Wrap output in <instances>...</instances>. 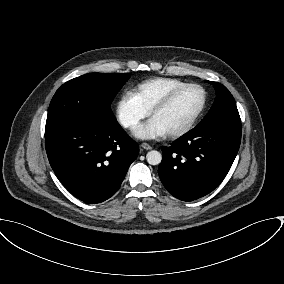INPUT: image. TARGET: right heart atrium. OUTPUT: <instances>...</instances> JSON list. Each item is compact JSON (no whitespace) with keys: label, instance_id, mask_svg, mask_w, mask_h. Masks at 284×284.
I'll list each match as a JSON object with an SVG mask.
<instances>
[{"label":"right heart atrium","instance_id":"1","mask_svg":"<svg viewBox=\"0 0 284 284\" xmlns=\"http://www.w3.org/2000/svg\"><path fill=\"white\" fill-rule=\"evenodd\" d=\"M116 118L126 129L135 128L149 111L138 101L133 92H125L116 103Z\"/></svg>","mask_w":284,"mask_h":284}]
</instances>
